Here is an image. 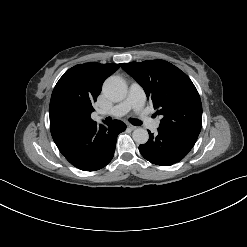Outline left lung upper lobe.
Here are the masks:
<instances>
[{"label":"left lung upper lobe","mask_w":247,"mask_h":247,"mask_svg":"<svg viewBox=\"0 0 247 247\" xmlns=\"http://www.w3.org/2000/svg\"><path fill=\"white\" fill-rule=\"evenodd\" d=\"M144 89L162 119L159 127L200 133L202 104L190 78L164 60L121 64Z\"/></svg>","instance_id":"5c2ea615"}]
</instances>
